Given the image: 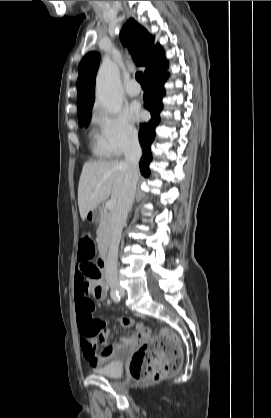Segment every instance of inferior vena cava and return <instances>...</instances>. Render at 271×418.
<instances>
[{
    "mask_svg": "<svg viewBox=\"0 0 271 418\" xmlns=\"http://www.w3.org/2000/svg\"><path fill=\"white\" fill-rule=\"evenodd\" d=\"M142 155V150L137 137H133L125 150L126 173L122 192L118 198L112 214L111 221V242L107 261L105 264V277L109 284L118 283L117 259L118 248L121 239L123 225L126 222L128 211L136 193L138 180V163Z\"/></svg>",
    "mask_w": 271,
    "mask_h": 418,
    "instance_id": "602c4592",
    "label": "inferior vena cava"
}]
</instances>
